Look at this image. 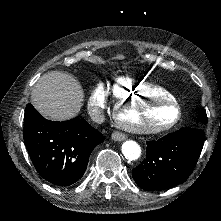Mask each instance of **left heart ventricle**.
Wrapping results in <instances>:
<instances>
[{
	"label": "left heart ventricle",
	"mask_w": 221,
	"mask_h": 221,
	"mask_svg": "<svg viewBox=\"0 0 221 221\" xmlns=\"http://www.w3.org/2000/svg\"><path fill=\"white\" fill-rule=\"evenodd\" d=\"M177 117V109L173 105H163L158 108L151 107H132L124 108L118 112L117 118L121 124H137L149 121H155L157 124L162 122H171Z\"/></svg>",
	"instance_id": "b2bd125f"
}]
</instances>
